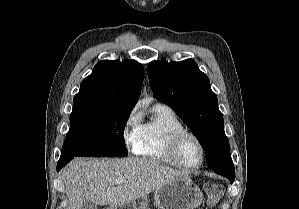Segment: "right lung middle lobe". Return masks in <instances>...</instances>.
Instances as JSON below:
<instances>
[{"instance_id": "dd1d6c3e", "label": "right lung middle lobe", "mask_w": 299, "mask_h": 209, "mask_svg": "<svg viewBox=\"0 0 299 209\" xmlns=\"http://www.w3.org/2000/svg\"><path fill=\"white\" fill-rule=\"evenodd\" d=\"M129 116L128 110L73 107L61 157L126 156L123 133Z\"/></svg>"}]
</instances>
